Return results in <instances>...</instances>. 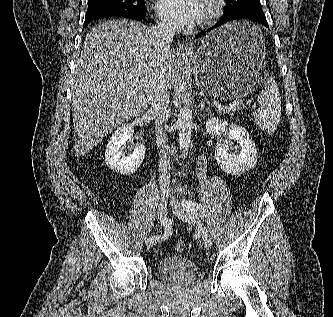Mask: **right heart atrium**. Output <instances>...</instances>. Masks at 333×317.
I'll return each instance as SVG.
<instances>
[{
    "instance_id": "obj_1",
    "label": "right heart atrium",
    "mask_w": 333,
    "mask_h": 317,
    "mask_svg": "<svg viewBox=\"0 0 333 317\" xmlns=\"http://www.w3.org/2000/svg\"><path fill=\"white\" fill-rule=\"evenodd\" d=\"M159 23H160V25L163 26V27H166V26H167V24H166L164 21H162V20H160Z\"/></svg>"
}]
</instances>
